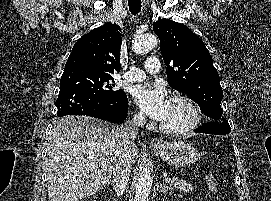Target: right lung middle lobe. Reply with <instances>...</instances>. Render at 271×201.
Wrapping results in <instances>:
<instances>
[{
    "label": "right lung middle lobe",
    "mask_w": 271,
    "mask_h": 201,
    "mask_svg": "<svg viewBox=\"0 0 271 201\" xmlns=\"http://www.w3.org/2000/svg\"><path fill=\"white\" fill-rule=\"evenodd\" d=\"M110 74L91 72L81 69L64 71L60 80L59 94L84 93L99 96H114L123 90L115 89Z\"/></svg>",
    "instance_id": "obj_1"
}]
</instances>
